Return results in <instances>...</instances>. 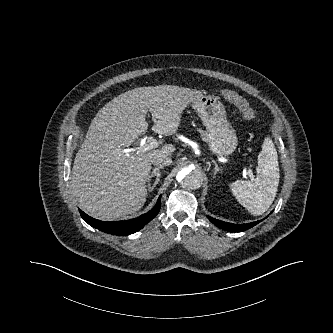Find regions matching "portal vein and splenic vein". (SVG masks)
<instances>
[{"instance_id":"obj_1","label":"portal vein and splenic vein","mask_w":333,"mask_h":333,"mask_svg":"<svg viewBox=\"0 0 333 333\" xmlns=\"http://www.w3.org/2000/svg\"><path fill=\"white\" fill-rule=\"evenodd\" d=\"M158 145H159V143L157 142L156 139H154L153 137H149V138L147 139L146 143H145V142H141V143L139 144V146H136V147H134V148L123 149V152H124L126 155H128V154H129L130 152H132V151H136V152H146V151H148V150H150V149L157 148ZM245 175H248V176L251 178V180L254 179V175H253V173H252L251 170H248V172H246Z\"/></svg>"}]
</instances>
